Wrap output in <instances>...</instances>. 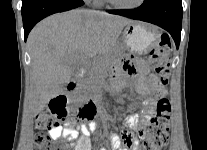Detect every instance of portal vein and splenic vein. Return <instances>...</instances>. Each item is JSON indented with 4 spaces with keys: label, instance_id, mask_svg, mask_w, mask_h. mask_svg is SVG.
Here are the masks:
<instances>
[{
    "label": "portal vein and splenic vein",
    "instance_id": "1",
    "mask_svg": "<svg viewBox=\"0 0 207 150\" xmlns=\"http://www.w3.org/2000/svg\"><path fill=\"white\" fill-rule=\"evenodd\" d=\"M75 60L82 63V64H88L89 63V61L85 60L82 56H77L75 58Z\"/></svg>",
    "mask_w": 207,
    "mask_h": 150
}]
</instances>
